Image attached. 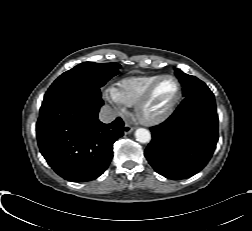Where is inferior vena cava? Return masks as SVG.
Wrapping results in <instances>:
<instances>
[{"mask_svg": "<svg viewBox=\"0 0 252 231\" xmlns=\"http://www.w3.org/2000/svg\"><path fill=\"white\" fill-rule=\"evenodd\" d=\"M117 112L108 105H104L100 109L99 120L103 123H110L115 120Z\"/></svg>", "mask_w": 252, "mask_h": 231, "instance_id": "inferior-vena-cava-1", "label": "inferior vena cava"}]
</instances>
